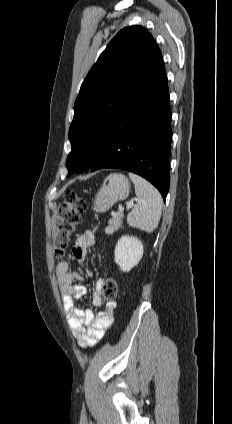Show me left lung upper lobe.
<instances>
[{
  "label": "left lung upper lobe",
  "instance_id": "5c2ea615",
  "mask_svg": "<svg viewBox=\"0 0 232 424\" xmlns=\"http://www.w3.org/2000/svg\"><path fill=\"white\" fill-rule=\"evenodd\" d=\"M162 60L152 35L142 26L122 29L93 65L74 104L69 129V175L90 168L115 121Z\"/></svg>",
  "mask_w": 232,
  "mask_h": 424
}]
</instances>
